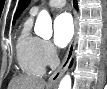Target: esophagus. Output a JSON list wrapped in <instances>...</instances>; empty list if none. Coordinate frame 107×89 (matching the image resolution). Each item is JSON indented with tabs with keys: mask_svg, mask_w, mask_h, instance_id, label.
<instances>
[{
	"mask_svg": "<svg viewBox=\"0 0 107 89\" xmlns=\"http://www.w3.org/2000/svg\"><path fill=\"white\" fill-rule=\"evenodd\" d=\"M77 32H78V20H77V15H75L73 38H72V40L69 44L68 50L65 54V57H64L61 65L58 67V69L48 79V84L49 85H56L58 83L61 75L63 74V72L68 67V65H69V63H70V61L73 57L75 46H76V43H77Z\"/></svg>",
	"mask_w": 107,
	"mask_h": 89,
	"instance_id": "34e87169",
	"label": "esophagus"
}]
</instances>
